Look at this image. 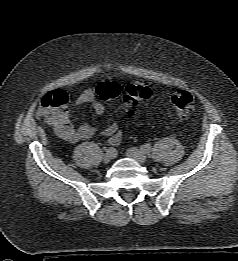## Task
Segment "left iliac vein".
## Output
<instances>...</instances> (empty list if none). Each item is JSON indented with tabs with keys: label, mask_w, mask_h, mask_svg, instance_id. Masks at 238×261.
Instances as JSON below:
<instances>
[{
	"label": "left iliac vein",
	"mask_w": 238,
	"mask_h": 261,
	"mask_svg": "<svg viewBox=\"0 0 238 261\" xmlns=\"http://www.w3.org/2000/svg\"><path fill=\"white\" fill-rule=\"evenodd\" d=\"M126 155L140 164H143L147 161V156L145 153L134 147L129 148L126 152Z\"/></svg>",
	"instance_id": "4c4485c4"
}]
</instances>
